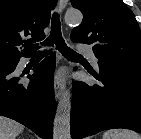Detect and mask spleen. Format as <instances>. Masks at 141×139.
I'll return each instance as SVG.
<instances>
[{
    "label": "spleen",
    "instance_id": "spleen-1",
    "mask_svg": "<svg viewBox=\"0 0 141 139\" xmlns=\"http://www.w3.org/2000/svg\"><path fill=\"white\" fill-rule=\"evenodd\" d=\"M102 139H141V136L131 130L113 129L107 130Z\"/></svg>",
    "mask_w": 141,
    "mask_h": 139
}]
</instances>
